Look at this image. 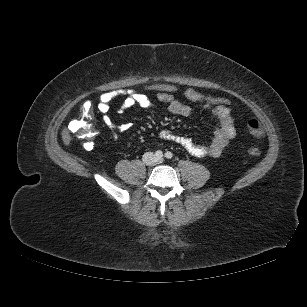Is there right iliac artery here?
<instances>
[{
	"label": "right iliac artery",
	"mask_w": 307,
	"mask_h": 307,
	"mask_svg": "<svg viewBox=\"0 0 307 307\" xmlns=\"http://www.w3.org/2000/svg\"><path fill=\"white\" fill-rule=\"evenodd\" d=\"M162 156H163V152H162L161 150H157V151L155 152V157H156L157 159L162 158Z\"/></svg>",
	"instance_id": "right-iliac-artery-1"
}]
</instances>
